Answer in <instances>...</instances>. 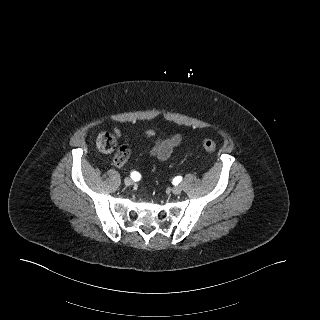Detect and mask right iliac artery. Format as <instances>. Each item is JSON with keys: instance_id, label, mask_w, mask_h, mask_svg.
Wrapping results in <instances>:
<instances>
[{"instance_id": "1", "label": "right iliac artery", "mask_w": 320, "mask_h": 320, "mask_svg": "<svg viewBox=\"0 0 320 320\" xmlns=\"http://www.w3.org/2000/svg\"><path fill=\"white\" fill-rule=\"evenodd\" d=\"M131 178L135 181L139 179V174L137 172H132L131 173Z\"/></svg>"}]
</instances>
